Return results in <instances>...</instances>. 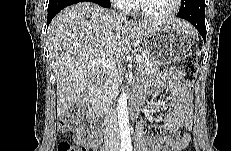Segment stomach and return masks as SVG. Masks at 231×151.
Wrapping results in <instances>:
<instances>
[{"label": "stomach", "instance_id": "1", "mask_svg": "<svg viewBox=\"0 0 231 151\" xmlns=\"http://www.w3.org/2000/svg\"><path fill=\"white\" fill-rule=\"evenodd\" d=\"M191 45V39L184 30L166 22L149 32L144 40V52L152 62L166 65L186 55Z\"/></svg>", "mask_w": 231, "mask_h": 151}]
</instances>
